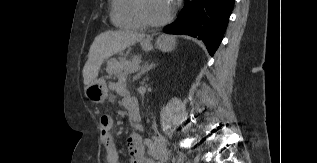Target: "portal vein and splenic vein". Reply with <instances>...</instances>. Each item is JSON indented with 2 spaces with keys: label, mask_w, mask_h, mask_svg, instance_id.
Masks as SVG:
<instances>
[{
  "label": "portal vein and splenic vein",
  "mask_w": 317,
  "mask_h": 163,
  "mask_svg": "<svg viewBox=\"0 0 317 163\" xmlns=\"http://www.w3.org/2000/svg\"><path fill=\"white\" fill-rule=\"evenodd\" d=\"M138 68H139V64L135 65L132 69H130L128 71H124V75L132 73V72L136 71Z\"/></svg>",
  "instance_id": "portal-vein-and-splenic-vein-1"
}]
</instances>
